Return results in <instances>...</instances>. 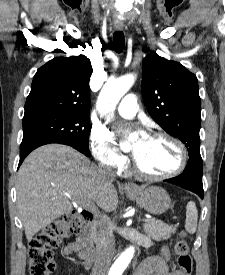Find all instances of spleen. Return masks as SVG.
Segmentation results:
<instances>
[{"instance_id": "1", "label": "spleen", "mask_w": 225, "mask_h": 275, "mask_svg": "<svg viewBox=\"0 0 225 275\" xmlns=\"http://www.w3.org/2000/svg\"><path fill=\"white\" fill-rule=\"evenodd\" d=\"M185 229L190 234H194L197 229L198 212L194 202H188L186 206Z\"/></svg>"}]
</instances>
